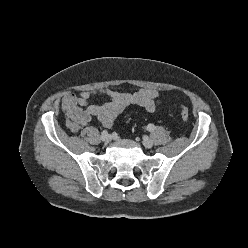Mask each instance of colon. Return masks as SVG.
Instances as JSON below:
<instances>
[{
	"instance_id": "obj_1",
	"label": "colon",
	"mask_w": 248,
	"mask_h": 248,
	"mask_svg": "<svg viewBox=\"0 0 248 248\" xmlns=\"http://www.w3.org/2000/svg\"><path fill=\"white\" fill-rule=\"evenodd\" d=\"M181 117L184 121L189 119V112L186 107H181Z\"/></svg>"
}]
</instances>
